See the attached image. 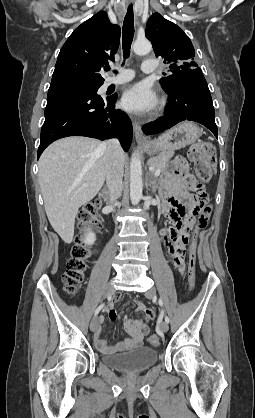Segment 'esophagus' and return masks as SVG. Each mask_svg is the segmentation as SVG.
Masks as SVG:
<instances>
[{
	"label": "esophagus",
	"mask_w": 255,
	"mask_h": 418,
	"mask_svg": "<svg viewBox=\"0 0 255 418\" xmlns=\"http://www.w3.org/2000/svg\"><path fill=\"white\" fill-rule=\"evenodd\" d=\"M133 130L138 143L147 142V138L143 135L141 125L137 121L133 122Z\"/></svg>",
	"instance_id": "34e87169"
}]
</instances>
